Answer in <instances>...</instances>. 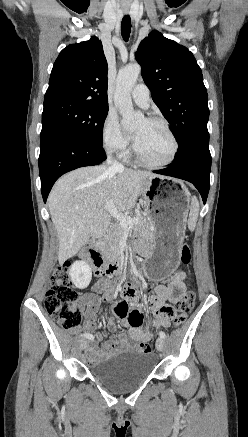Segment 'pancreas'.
I'll return each mask as SVG.
<instances>
[{"instance_id": "cf45deb5", "label": "pancreas", "mask_w": 248, "mask_h": 437, "mask_svg": "<svg viewBox=\"0 0 248 437\" xmlns=\"http://www.w3.org/2000/svg\"><path fill=\"white\" fill-rule=\"evenodd\" d=\"M138 218L139 223L135 226V230L138 231L142 237L151 240L152 232L150 230L151 225L149 220L143 216H138ZM123 234L124 228L118 223L114 226L103 244L105 253L111 259H116L119 255V242L122 240Z\"/></svg>"}]
</instances>
